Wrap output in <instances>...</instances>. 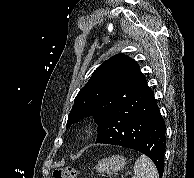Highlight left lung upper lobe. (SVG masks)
Here are the masks:
<instances>
[{
	"label": "left lung upper lobe",
	"mask_w": 194,
	"mask_h": 178,
	"mask_svg": "<svg viewBox=\"0 0 194 178\" xmlns=\"http://www.w3.org/2000/svg\"><path fill=\"white\" fill-rule=\"evenodd\" d=\"M147 88L137 62L127 55L117 54L102 63L79 91L66 126L89 116L99 125L121 102Z\"/></svg>",
	"instance_id": "5c2ea615"
}]
</instances>
